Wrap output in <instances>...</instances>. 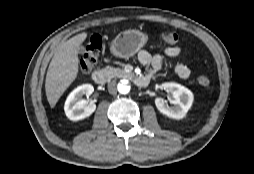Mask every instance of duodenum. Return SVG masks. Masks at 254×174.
<instances>
[{
    "label": "duodenum",
    "instance_id": "1",
    "mask_svg": "<svg viewBox=\"0 0 254 174\" xmlns=\"http://www.w3.org/2000/svg\"><path fill=\"white\" fill-rule=\"evenodd\" d=\"M92 80L97 85H104L107 81V75L102 70H95L92 73ZM150 82L149 76H137L134 78V83L138 87H146Z\"/></svg>",
    "mask_w": 254,
    "mask_h": 174
}]
</instances>
